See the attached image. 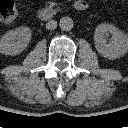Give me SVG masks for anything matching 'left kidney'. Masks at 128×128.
I'll use <instances>...</instances> for the list:
<instances>
[{
  "label": "left kidney",
  "instance_id": "left-kidney-1",
  "mask_svg": "<svg viewBox=\"0 0 128 128\" xmlns=\"http://www.w3.org/2000/svg\"><path fill=\"white\" fill-rule=\"evenodd\" d=\"M111 35L108 41V35ZM95 48L108 59L122 57L128 52V35L112 24H99L94 33Z\"/></svg>",
  "mask_w": 128,
  "mask_h": 128
}]
</instances>
